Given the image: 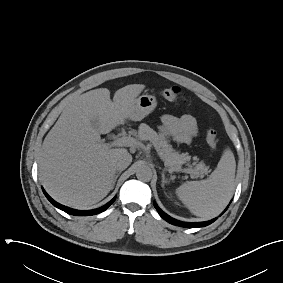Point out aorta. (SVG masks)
I'll use <instances>...</instances> for the list:
<instances>
[{"label": "aorta", "instance_id": "1", "mask_svg": "<svg viewBox=\"0 0 283 283\" xmlns=\"http://www.w3.org/2000/svg\"><path fill=\"white\" fill-rule=\"evenodd\" d=\"M136 176L139 180L148 182L152 179V169L148 165H140L137 168Z\"/></svg>", "mask_w": 283, "mask_h": 283}]
</instances>
